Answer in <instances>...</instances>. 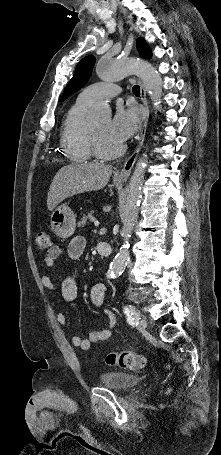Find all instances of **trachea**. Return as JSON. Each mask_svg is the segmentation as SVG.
Returning <instances> with one entry per match:
<instances>
[{"label": "trachea", "instance_id": "trachea-1", "mask_svg": "<svg viewBox=\"0 0 221 455\" xmlns=\"http://www.w3.org/2000/svg\"><path fill=\"white\" fill-rule=\"evenodd\" d=\"M132 90L136 96L140 95V87L138 85L133 86Z\"/></svg>", "mask_w": 221, "mask_h": 455}]
</instances>
